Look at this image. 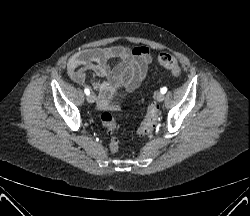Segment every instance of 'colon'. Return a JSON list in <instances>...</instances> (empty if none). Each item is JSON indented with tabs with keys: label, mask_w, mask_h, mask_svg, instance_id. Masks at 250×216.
<instances>
[{
	"label": "colon",
	"mask_w": 250,
	"mask_h": 216,
	"mask_svg": "<svg viewBox=\"0 0 250 216\" xmlns=\"http://www.w3.org/2000/svg\"><path fill=\"white\" fill-rule=\"evenodd\" d=\"M158 62L159 64L164 67L165 69L169 70L173 76L179 77L181 75V68L176 60V58L166 52H162L158 55ZM157 113L158 109L155 104L150 103L147 107L146 113L139 123L136 134L139 136H145L149 133H151L155 126L157 121ZM101 122L102 125L106 128L108 133L112 135L111 141L109 144L110 151L112 153H116L119 150V140L114 135L117 131V124L113 118V116L110 113H103L101 115Z\"/></svg>",
	"instance_id": "colon-1"
}]
</instances>
